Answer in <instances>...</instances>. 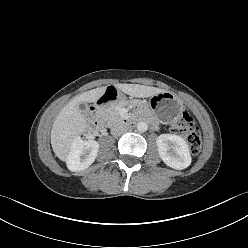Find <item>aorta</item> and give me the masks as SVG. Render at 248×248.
Instances as JSON below:
<instances>
[{"mask_svg":"<svg viewBox=\"0 0 248 248\" xmlns=\"http://www.w3.org/2000/svg\"><path fill=\"white\" fill-rule=\"evenodd\" d=\"M137 130L140 132H146L148 130V124L146 122H139L137 124Z\"/></svg>","mask_w":248,"mask_h":248,"instance_id":"obj_1","label":"aorta"}]
</instances>
